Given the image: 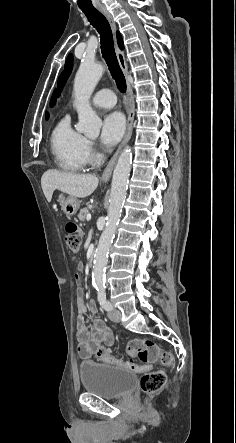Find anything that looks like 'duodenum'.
Segmentation results:
<instances>
[{"instance_id":"410a0bca","label":"duodenum","mask_w":236,"mask_h":443,"mask_svg":"<svg viewBox=\"0 0 236 443\" xmlns=\"http://www.w3.org/2000/svg\"><path fill=\"white\" fill-rule=\"evenodd\" d=\"M94 257H95L94 253L89 254V256H88V260H87V264H88L89 266H92V265H93Z\"/></svg>"}]
</instances>
